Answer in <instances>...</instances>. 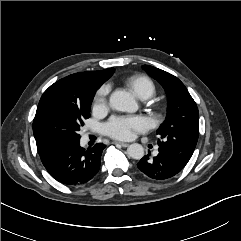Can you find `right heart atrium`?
I'll list each match as a JSON object with an SVG mask.
<instances>
[{"mask_svg":"<svg viewBox=\"0 0 241 241\" xmlns=\"http://www.w3.org/2000/svg\"><path fill=\"white\" fill-rule=\"evenodd\" d=\"M110 91L109 85H103L95 95L94 108L97 110L105 109L107 105V96Z\"/></svg>","mask_w":241,"mask_h":241,"instance_id":"1","label":"right heart atrium"}]
</instances>
